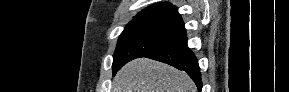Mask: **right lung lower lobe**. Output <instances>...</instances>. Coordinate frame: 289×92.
<instances>
[{"instance_id":"98d812e1","label":"right lung lower lobe","mask_w":289,"mask_h":92,"mask_svg":"<svg viewBox=\"0 0 289 92\" xmlns=\"http://www.w3.org/2000/svg\"><path fill=\"white\" fill-rule=\"evenodd\" d=\"M144 57L158 60L187 72L199 91L202 89L201 73L197 58L187 45V37L181 41L154 51Z\"/></svg>"}]
</instances>
